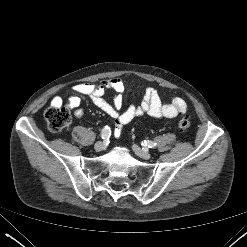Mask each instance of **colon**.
I'll list each match as a JSON object with an SVG mask.
<instances>
[{
  "label": "colon",
  "mask_w": 247,
  "mask_h": 247,
  "mask_svg": "<svg viewBox=\"0 0 247 247\" xmlns=\"http://www.w3.org/2000/svg\"><path fill=\"white\" fill-rule=\"evenodd\" d=\"M45 120L48 128L52 132H60L71 122V115L68 109L61 106H51L46 109ZM178 127L181 131H186L190 127V120L187 117H181L178 121ZM121 131V130H120ZM119 131V135H120Z\"/></svg>",
  "instance_id": "1"
}]
</instances>
